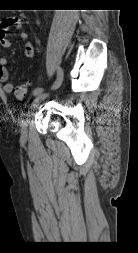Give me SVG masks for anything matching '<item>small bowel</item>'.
<instances>
[{"label":"small bowel","mask_w":138,"mask_h":253,"mask_svg":"<svg viewBox=\"0 0 138 253\" xmlns=\"http://www.w3.org/2000/svg\"><path fill=\"white\" fill-rule=\"evenodd\" d=\"M10 26H15L24 40V54L31 59L35 54V47L29 39L24 23L18 18H7L0 22V46L10 48L12 43L9 38L8 30ZM0 81L4 83L3 89L10 94L14 90V84L9 81V72L7 69V59L0 55Z\"/></svg>","instance_id":"c3829d8e"}]
</instances>
